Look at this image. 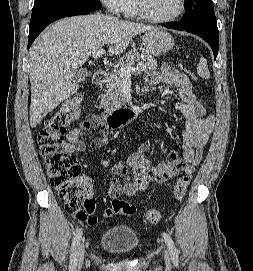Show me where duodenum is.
Returning a JSON list of instances; mask_svg holds the SVG:
<instances>
[{
	"mask_svg": "<svg viewBox=\"0 0 253 271\" xmlns=\"http://www.w3.org/2000/svg\"><path fill=\"white\" fill-rule=\"evenodd\" d=\"M105 78L106 73L99 70L94 73L92 82L94 85L100 86L104 84ZM141 114L142 109L140 106H123L105 110L103 112V118L110 128H120Z\"/></svg>",
	"mask_w": 253,
	"mask_h": 271,
	"instance_id": "duodenum-1",
	"label": "duodenum"
}]
</instances>
